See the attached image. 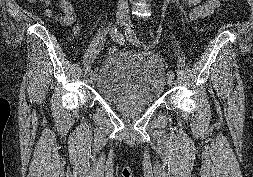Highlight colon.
I'll list each match as a JSON object with an SVG mask.
<instances>
[{"label": "colon", "mask_w": 253, "mask_h": 177, "mask_svg": "<svg viewBox=\"0 0 253 177\" xmlns=\"http://www.w3.org/2000/svg\"><path fill=\"white\" fill-rule=\"evenodd\" d=\"M108 52L109 54L114 55L117 53V48L114 45H110L108 48Z\"/></svg>", "instance_id": "1"}]
</instances>
